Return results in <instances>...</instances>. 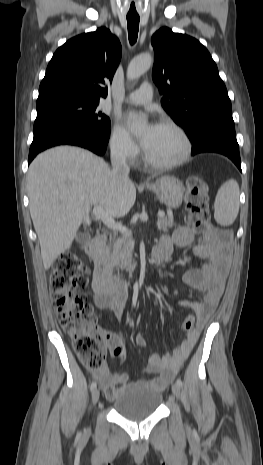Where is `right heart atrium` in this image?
Listing matches in <instances>:
<instances>
[{
  "label": "right heart atrium",
  "instance_id": "d8ad5b80",
  "mask_svg": "<svg viewBox=\"0 0 263 465\" xmlns=\"http://www.w3.org/2000/svg\"><path fill=\"white\" fill-rule=\"evenodd\" d=\"M108 145L112 155L122 160L133 161L139 154L137 144L118 124L114 125L110 132Z\"/></svg>",
  "mask_w": 263,
  "mask_h": 465
}]
</instances>
